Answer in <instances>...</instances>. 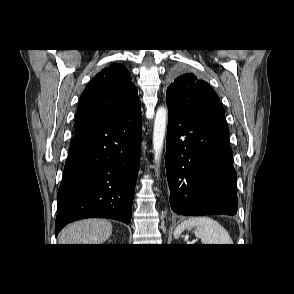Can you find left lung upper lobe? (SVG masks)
<instances>
[{
  "label": "left lung upper lobe",
  "mask_w": 294,
  "mask_h": 294,
  "mask_svg": "<svg viewBox=\"0 0 294 294\" xmlns=\"http://www.w3.org/2000/svg\"><path fill=\"white\" fill-rule=\"evenodd\" d=\"M166 102L188 117L225 118L223 107L213 88L191 73L174 79L167 88Z\"/></svg>",
  "instance_id": "5c2ea615"
}]
</instances>
